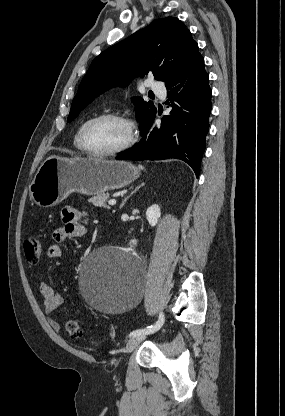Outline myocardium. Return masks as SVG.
I'll return each instance as SVG.
<instances>
[{"instance_id":"f54148a6","label":"myocardium","mask_w":285,"mask_h":416,"mask_svg":"<svg viewBox=\"0 0 285 416\" xmlns=\"http://www.w3.org/2000/svg\"><path fill=\"white\" fill-rule=\"evenodd\" d=\"M100 119H113L121 123L125 127L127 136H126L125 142L120 147L113 149V150H108V151H98L89 146L87 142V138H86L87 129L93 122L100 120ZM133 141H134V130H133V125L131 121L125 116L119 113H113V112L99 113L90 117L83 124L81 133H80V143H81L82 148L88 154L92 156H96V157L118 156L124 153L125 151H127L132 146Z\"/></svg>"}]
</instances>
